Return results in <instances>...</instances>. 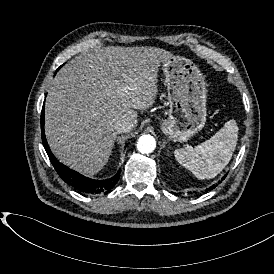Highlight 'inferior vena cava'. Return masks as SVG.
Here are the masks:
<instances>
[{"mask_svg":"<svg viewBox=\"0 0 274 274\" xmlns=\"http://www.w3.org/2000/svg\"><path fill=\"white\" fill-rule=\"evenodd\" d=\"M136 124H137L136 119H133L130 117L123 118L115 122L114 130L116 133L130 132L134 129Z\"/></svg>","mask_w":274,"mask_h":274,"instance_id":"1","label":"inferior vena cava"}]
</instances>
